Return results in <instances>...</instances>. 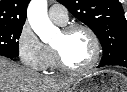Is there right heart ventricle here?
Segmentation results:
<instances>
[{"instance_id":"right-heart-ventricle-1","label":"right heart ventricle","mask_w":127,"mask_h":92,"mask_svg":"<svg viewBox=\"0 0 127 92\" xmlns=\"http://www.w3.org/2000/svg\"><path fill=\"white\" fill-rule=\"evenodd\" d=\"M48 48H49V51H50V58H49V63H48L47 68H53V67H55V59H54L53 51L51 50L50 47H48Z\"/></svg>"}]
</instances>
